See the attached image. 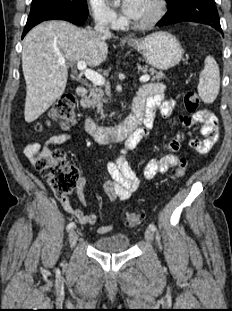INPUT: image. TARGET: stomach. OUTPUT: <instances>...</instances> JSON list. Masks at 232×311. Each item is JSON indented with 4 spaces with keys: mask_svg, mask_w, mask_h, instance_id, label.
<instances>
[{
    "mask_svg": "<svg viewBox=\"0 0 232 311\" xmlns=\"http://www.w3.org/2000/svg\"><path fill=\"white\" fill-rule=\"evenodd\" d=\"M128 44L139 51L149 65L159 70L176 66L184 53L179 40L165 31L129 41Z\"/></svg>",
    "mask_w": 232,
    "mask_h": 311,
    "instance_id": "1",
    "label": "stomach"
}]
</instances>
